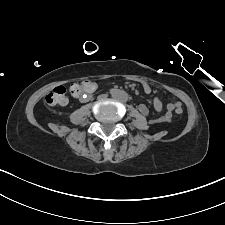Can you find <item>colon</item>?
Masks as SVG:
<instances>
[{"instance_id": "1", "label": "colon", "mask_w": 225, "mask_h": 225, "mask_svg": "<svg viewBox=\"0 0 225 225\" xmlns=\"http://www.w3.org/2000/svg\"><path fill=\"white\" fill-rule=\"evenodd\" d=\"M94 89V82L83 81L80 83H74L70 87V93L73 96H79L83 93H88ZM46 103L49 105H65L68 102L66 96V88L64 86H57L50 92L45 99ZM175 113L181 115L183 113V108L177 106L175 108Z\"/></svg>"}]
</instances>
